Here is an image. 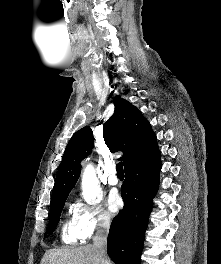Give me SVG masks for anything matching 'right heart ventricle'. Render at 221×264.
Returning a JSON list of instances; mask_svg holds the SVG:
<instances>
[{
    "label": "right heart ventricle",
    "mask_w": 221,
    "mask_h": 264,
    "mask_svg": "<svg viewBox=\"0 0 221 264\" xmlns=\"http://www.w3.org/2000/svg\"><path fill=\"white\" fill-rule=\"evenodd\" d=\"M61 239L66 244H76L81 240L79 235L76 232L73 219L66 220L61 229Z\"/></svg>",
    "instance_id": "obj_1"
}]
</instances>
